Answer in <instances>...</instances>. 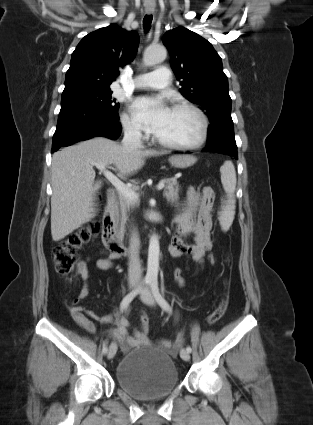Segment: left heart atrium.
<instances>
[{"label":"left heart atrium","mask_w":313,"mask_h":425,"mask_svg":"<svg viewBox=\"0 0 313 425\" xmlns=\"http://www.w3.org/2000/svg\"><path fill=\"white\" fill-rule=\"evenodd\" d=\"M134 115L142 127L157 134L165 124L170 109L161 98L140 97L134 102Z\"/></svg>","instance_id":"obj_1"}]
</instances>
